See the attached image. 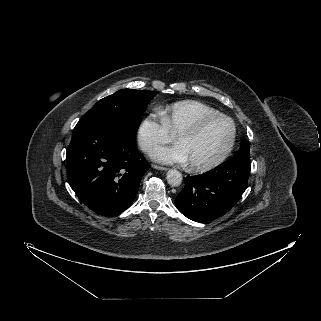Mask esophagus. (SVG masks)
Here are the masks:
<instances>
[{"label": "esophagus", "mask_w": 321, "mask_h": 321, "mask_svg": "<svg viewBox=\"0 0 321 321\" xmlns=\"http://www.w3.org/2000/svg\"><path fill=\"white\" fill-rule=\"evenodd\" d=\"M152 167H153L154 169H158V170H162V171L167 170L166 167L159 166V165H155V164H152Z\"/></svg>", "instance_id": "esophagus-1"}]
</instances>
